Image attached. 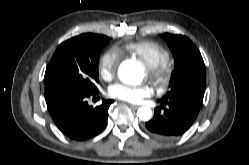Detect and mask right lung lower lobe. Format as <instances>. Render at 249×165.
Returning a JSON list of instances; mask_svg holds the SVG:
<instances>
[{"instance_id":"right-lung-lower-lobe-1","label":"right lung lower lobe","mask_w":249,"mask_h":165,"mask_svg":"<svg viewBox=\"0 0 249 165\" xmlns=\"http://www.w3.org/2000/svg\"><path fill=\"white\" fill-rule=\"evenodd\" d=\"M98 94L76 90L50 88L45 90L49 113L59 130L76 141H84L99 134L106 126L109 106L113 100H103L95 108L86 98Z\"/></svg>"}]
</instances>
